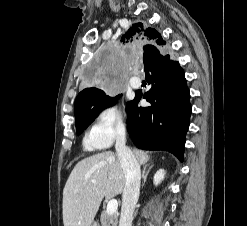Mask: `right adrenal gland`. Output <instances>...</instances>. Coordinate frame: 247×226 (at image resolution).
<instances>
[{"instance_id": "2a0ac1e0", "label": "right adrenal gland", "mask_w": 247, "mask_h": 226, "mask_svg": "<svg viewBox=\"0 0 247 226\" xmlns=\"http://www.w3.org/2000/svg\"><path fill=\"white\" fill-rule=\"evenodd\" d=\"M152 167H153V165H150V166L145 165V166L143 167V170H142V179H143L142 185H143V186L145 185V182H146L148 173H149V171L152 169Z\"/></svg>"}]
</instances>
